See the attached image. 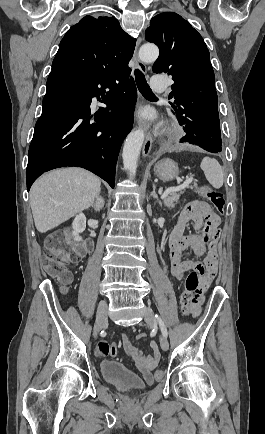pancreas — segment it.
Wrapping results in <instances>:
<instances>
[{
	"label": "pancreas",
	"instance_id": "1",
	"mask_svg": "<svg viewBox=\"0 0 265 434\" xmlns=\"http://www.w3.org/2000/svg\"><path fill=\"white\" fill-rule=\"evenodd\" d=\"M187 188H191V190H193V188H197V184H194V186H187ZM183 190H185V188H183ZM179 194H183V192H181V190H178V192H172L170 196L164 198V206H166V208H175V204L179 200Z\"/></svg>",
	"mask_w": 265,
	"mask_h": 434
}]
</instances>
